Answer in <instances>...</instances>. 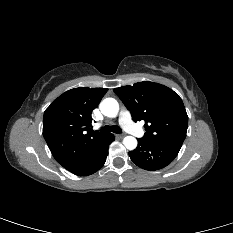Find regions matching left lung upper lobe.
Here are the masks:
<instances>
[{"label":"left lung upper lobe","instance_id":"left-lung-upper-lobe-1","mask_svg":"<svg viewBox=\"0 0 233 233\" xmlns=\"http://www.w3.org/2000/svg\"><path fill=\"white\" fill-rule=\"evenodd\" d=\"M114 92L131 112L133 121L145 122L146 133L142 139L183 143L188 116L181 98L173 90L143 81L116 88Z\"/></svg>","mask_w":233,"mask_h":233}]
</instances>
